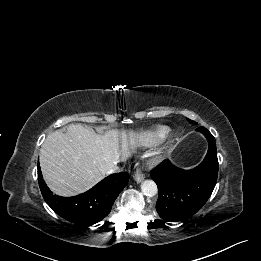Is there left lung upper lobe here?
I'll list each match as a JSON object with an SVG mask.
<instances>
[{
  "instance_id": "1",
  "label": "left lung upper lobe",
  "mask_w": 261,
  "mask_h": 261,
  "mask_svg": "<svg viewBox=\"0 0 261 261\" xmlns=\"http://www.w3.org/2000/svg\"><path fill=\"white\" fill-rule=\"evenodd\" d=\"M189 122L194 123L192 120L188 119Z\"/></svg>"
}]
</instances>
